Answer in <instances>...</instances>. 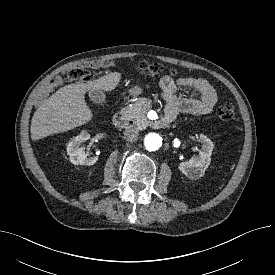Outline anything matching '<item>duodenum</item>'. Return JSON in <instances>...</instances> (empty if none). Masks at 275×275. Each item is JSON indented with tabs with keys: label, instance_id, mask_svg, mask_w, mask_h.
<instances>
[{
	"label": "duodenum",
	"instance_id": "obj_1",
	"mask_svg": "<svg viewBox=\"0 0 275 275\" xmlns=\"http://www.w3.org/2000/svg\"><path fill=\"white\" fill-rule=\"evenodd\" d=\"M168 118H163L157 122V125L159 127H163L168 123ZM113 123L117 128H123L126 125L129 124V119L127 117L126 112L124 111V108H122L113 118Z\"/></svg>",
	"mask_w": 275,
	"mask_h": 275
}]
</instances>
